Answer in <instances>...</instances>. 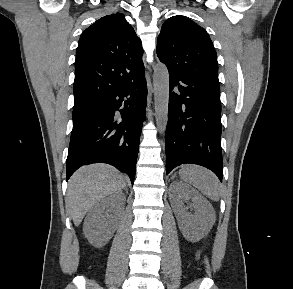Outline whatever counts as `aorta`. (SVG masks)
<instances>
[{"label":"aorta","instance_id":"762f6f07","mask_svg":"<svg viewBox=\"0 0 293 289\" xmlns=\"http://www.w3.org/2000/svg\"><path fill=\"white\" fill-rule=\"evenodd\" d=\"M155 117L157 128L164 133L168 121L169 73L164 64H158L153 74Z\"/></svg>","mask_w":293,"mask_h":289}]
</instances>
